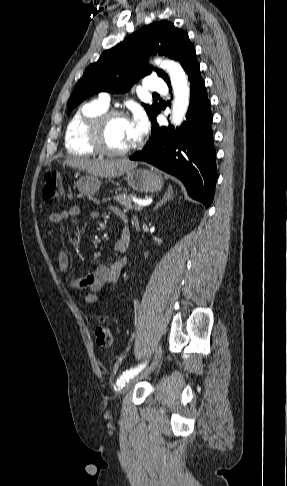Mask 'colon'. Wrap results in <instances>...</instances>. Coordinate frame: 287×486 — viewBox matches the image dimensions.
I'll list each match as a JSON object with an SVG mask.
<instances>
[{"instance_id":"obj_1","label":"colon","mask_w":287,"mask_h":486,"mask_svg":"<svg viewBox=\"0 0 287 486\" xmlns=\"http://www.w3.org/2000/svg\"><path fill=\"white\" fill-rule=\"evenodd\" d=\"M63 185L61 175L57 171H49L44 176L42 198L51 200L62 194ZM95 342L99 347H109L112 343V331L107 318L104 315L98 317V323L94 331Z\"/></svg>"}]
</instances>
